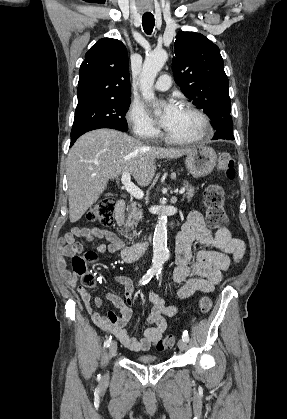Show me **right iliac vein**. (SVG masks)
<instances>
[{
  "mask_svg": "<svg viewBox=\"0 0 287 419\" xmlns=\"http://www.w3.org/2000/svg\"><path fill=\"white\" fill-rule=\"evenodd\" d=\"M117 352V343L115 341L110 343L109 349H108V359H111Z\"/></svg>",
  "mask_w": 287,
  "mask_h": 419,
  "instance_id": "63e3f726",
  "label": "right iliac vein"
}]
</instances>
